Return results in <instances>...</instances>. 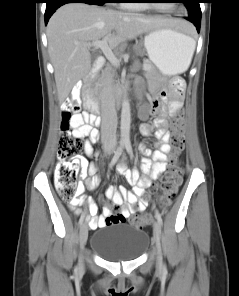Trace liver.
I'll use <instances>...</instances> for the list:
<instances>
[{
	"instance_id": "obj_1",
	"label": "liver",
	"mask_w": 239,
	"mask_h": 296,
	"mask_svg": "<svg viewBox=\"0 0 239 296\" xmlns=\"http://www.w3.org/2000/svg\"><path fill=\"white\" fill-rule=\"evenodd\" d=\"M163 27H186L180 20L122 12L85 3L60 7L47 25L48 51L58 98L64 101L74 85L91 71L87 44L108 38L111 48Z\"/></svg>"
}]
</instances>
